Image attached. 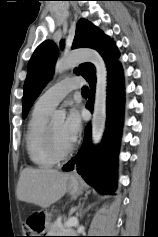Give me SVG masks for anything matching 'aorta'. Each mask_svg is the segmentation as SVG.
<instances>
[{
	"instance_id": "1",
	"label": "aorta",
	"mask_w": 158,
	"mask_h": 237,
	"mask_svg": "<svg viewBox=\"0 0 158 237\" xmlns=\"http://www.w3.org/2000/svg\"><path fill=\"white\" fill-rule=\"evenodd\" d=\"M82 62H90L96 69V90L92 118V143L98 145L105 129L107 99V68L101 55L92 49H79L65 54L56 62L55 74H61ZM65 112L56 111L53 120L63 121Z\"/></svg>"
}]
</instances>
